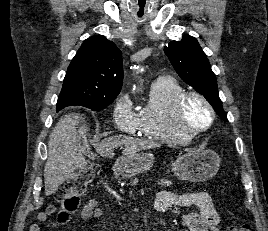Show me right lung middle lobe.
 <instances>
[{"label":"right lung middle lobe","mask_w":268,"mask_h":231,"mask_svg":"<svg viewBox=\"0 0 268 231\" xmlns=\"http://www.w3.org/2000/svg\"><path fill=\"white\" fill-rule=\"evenodd\" d=\"M114 99L110 100H104L96 103H77V104H66L65 102L63 103H58L57 102V111L61 110L62 108L66 106H71V105H81L87 108H90L93 111H100L104 108H106L109 104L113 102Z\"/></svg>","instance_id":"right-lung-middle-lobe-1"}]
</instances>
